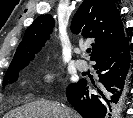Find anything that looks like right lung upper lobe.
I'll return each instance as SVG.
<instances>
[{
    "label": "right lung upper lobe",
    "instance_id": "1",
    "mask_svg": "<svg viewBox=\"0 0 133 118\" xmlns=\"http://www.w3.org/2000/svg\"><path fill=\"white\" fill-rule=\"evenodd\" d=\"M53 27L51 15L39 16L27 28L9 67L32 60L34 54L46 43ZM71 30L75 34L95 39L92 43L91 60L126 38L113 0H84L72 20Z\"/></svg>",
    "mask_w": 133,
    "mask_h": 118
}]
</instances>
